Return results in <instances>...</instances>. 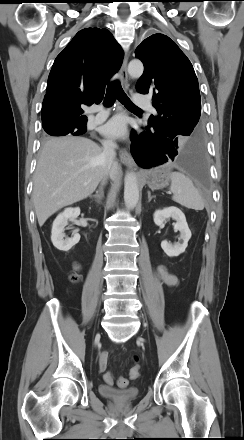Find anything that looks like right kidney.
<instances>
[{
	"instance_id": "ca27d5eb",
	"label": "right kidney",
	"mask_w": 244,
	"mask_h": 440,
	"mask_svg": "<svg viewBox=\"0 0 244 440\" xmlns=\"http://www.w3.org/2000/svg\"><path fill=\"white\" fill-rule=\"evenodd\" d=\"M79 215V207L66 208L54 220L51 231V241L58 250L67 252L79 242L80 235L78 233H74L73 237L71 238L64 239V228L68 225V221H73Z\"/></svg>"
}]
</instances>
